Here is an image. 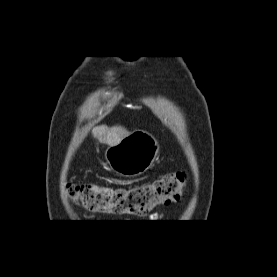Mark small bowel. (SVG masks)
Returning <instances> with one entry per match:
<instances>
[{
    "label": "small bowel",
    "instance_id": "small-bowel-1",
    "mask_svg": "<svg viewBox=\"0 0 277 277\" xmlns=\"http://www.w3.org/2000/svg\"><path fill=\"white\" fill-rule=\"evenodd\" d=\"M159 217H160V215H158V214H154V215H153V218H154V219H158Z\"/></svg>",
    "mask_w": 277,
    "mask_h": 277
}]
</instances>
